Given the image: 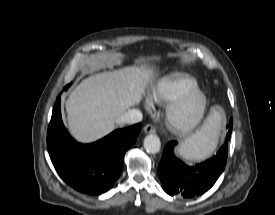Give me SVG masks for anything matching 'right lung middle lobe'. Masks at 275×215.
<instances>
[{
	"mask_svg": "<svg viewBox=\"0 0 275 215\" xmlns=\"http://www.w3.org/2000/svg\"><path fill=\"white\" fill-rule=\"evenodd\" d=\"M69 87V85H67L64 89L66 90Z\"/></svg>",
	"mask_w": 275,
	"mask_h": 215,
	"instance_id": "right-lung-middle-lobe-1",
	"label": "right lung middle lobe"
}]
</instances>
